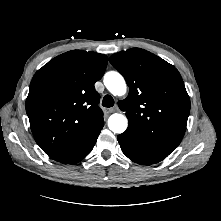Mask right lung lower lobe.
<instances>
[{
  "label": "right lung lower lobe",
  "mask_w": 221,
  "mask_h": 221,
  "mask_svg": "<svg viewBox=\"0 0 221 221\" xmlns=\"http://www.w3.org/2000/svg\"><path fill=\"white\" fill-rule=\"evenodd\" d=\"M104 126V120L97 122L87 135L76 146L51 155L50 157L63 164H75L85 158L93 149L97 138Z\"/></svg>",
  "instance_id": "obj_1"
}]
</instances>
